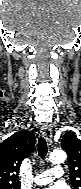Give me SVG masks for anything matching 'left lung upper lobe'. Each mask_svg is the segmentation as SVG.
<instances>
[{"label":"left lung upper lobe","mask_w":81,"mask_h":189,"mask_svg":"<svg viewBox=\"0 0 81 189\" xmlns=\"http://www.w3.org/2000/svg\"><path fill=\"white\" fill-rule=\"evenodd\" d=\"M61 147L68 154L70 180L73 189H81V140L73 132L66 133Z\"/></svg>","instance_id":"obj_1"}]
</instances>
